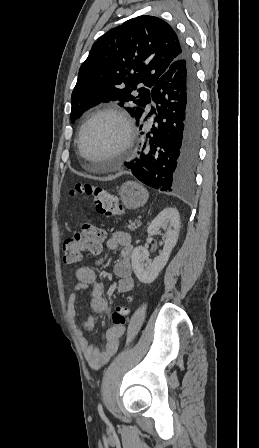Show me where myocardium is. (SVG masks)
Masks as SVG:
<instances>
[{"label": "myocardium", "mask_w": 259, "mask_h": 448, "mask_svg": "<svg viewBox=\"0 0 259 448\" xmlns=\"http://www.w3.org/2000/svg\"><path fill=\"white\" fill-rule=\"evenodd\" d=\"M102 116L115 117L120 121L122 125V135L119 141L112 148V157L121 158L130 148L134 132L133 122L130 115L124 109L117 106L105 107L93 112L82 124L78 132L76 141L77 146L76 154L79 159H81V150H82L81 139L85 129L92 121Z\"/></svg>", "instance_id": "obj_1"}]
</instances>
